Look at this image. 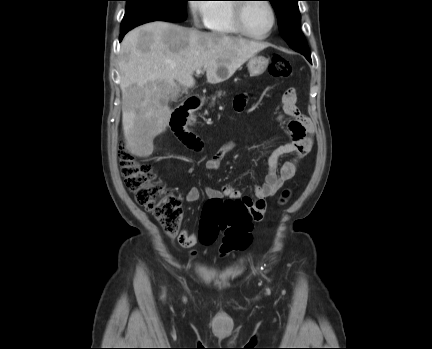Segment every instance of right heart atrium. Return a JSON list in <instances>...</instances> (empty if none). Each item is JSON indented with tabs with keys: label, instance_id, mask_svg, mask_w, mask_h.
Returning <instances> with one entry per match:
<instances>
[{
	"label": "right heart atrium",
	"instance_id": "1",
	"mask_svg": "<svg viewBox=\"0 0 432 349\" xmlns=\"http://www.w3.org/2000/svg\"><path fill=\"white\" fill-rule=\"evenodd\" d=\"M209 2L207 0H190L188 1V8L192 22L200 26L205 23L209 11Z\"/></svg>",
	"mask_w": 432,
	"mask_h": 349
}]
</instances>
